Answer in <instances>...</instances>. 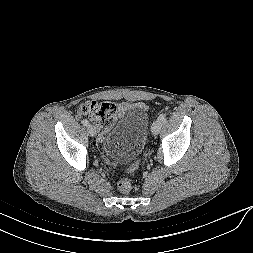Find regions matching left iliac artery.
I'll use <instances>...</instances> for the list:
<instances>
[{
  "mask_svg": "<svg viewBox=\"0 0 253 253\" xmlns=\"http://www.w3.org/2000/svg\"><path fill=\"white\" fill-rule=\"evenodd\" d=\"M158 120H160L161 122L165 121V120H166V114H161V115L158 117Z\"/></svg>",
  "mask_w": 253,
  "mask_h": 253,
  "instance_id": "44dca946",
  "label": "left iliac artery"
}]
</instances>
